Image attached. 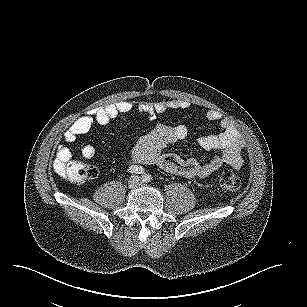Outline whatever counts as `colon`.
Instances as JSON below:
<instances>
[{"mask_svg": "<svg viewBox=\"0 0 307 307\" xmlns=\"http://www.w3.org/2000/svg\"><path fill=\"white\" fill-rule=\"evenodd\" d=\"M55 169L59 175L73 182H83L98 175V169L95 166L79 159L57 162ZM218 184L226 192H236L241 188L240 178L230 169H223L220 172Z\"/></svg>", "mask_w": 307, "mask_h": 307, "instance_id": "1", "label": "colon"}]
</instances>
